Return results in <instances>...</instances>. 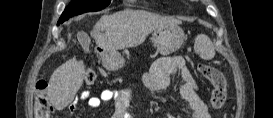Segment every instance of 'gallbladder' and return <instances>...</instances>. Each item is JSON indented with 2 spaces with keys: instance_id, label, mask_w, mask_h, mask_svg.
<instances>
[{
  "instance_id": "1",
  "label": "gallbladder",
  "mask_w": 273,
  "mask_h": 118,
  "mask_svg": "<svg viewBox=\"0 0 273 118\" xmlns=\"http://www.w3.org/2000/svg\"><path fill=\"white\" fill-rule=\"evenodd\" d=\"M84 49H85V51H89V49H88V47H87V46H85V47H84Z\"/></svg>"
}]
</instances>
